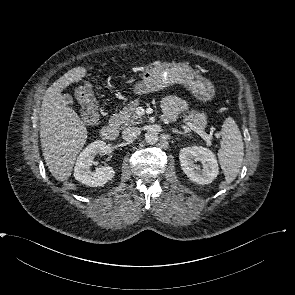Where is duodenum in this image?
<instances>
[{
	"mask_svg": "<svg viewBox=\"0 0 295 295\" xmlns=\"http://www.w3.org/2000/svg\"><path fill=\"white\" fill-rule=\"evenodd\" d=\"M118 135V129L116 124H109L101 129V136L108 141L116 139Z\"/></svg>",
	"mask_w": 295,
	"mask_h": 295,
	"instance_id": "obj_1",
	"label": "duodenum"
}]
</instances>
